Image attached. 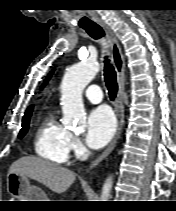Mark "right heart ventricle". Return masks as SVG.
I'll return each mask as SVG.
<instances>
[{
    "mask_svg": "<svg viewBox=\"0 0 176 211\" xmlns=\"http://www.w3.org/2000/svg\"><path fill=\"white\" fill-rule=\"evenodd\" d=\"M69 131L61 125L53 112L47 113L38 123L34 135L35 153L53 163H66L70 154Z\"/></svg>",
    "mask_w": 176,
    "mask_h": 211,
    "instance_id": "obj_1",
    "label": "right heart ventricle"
}]
</instances>
